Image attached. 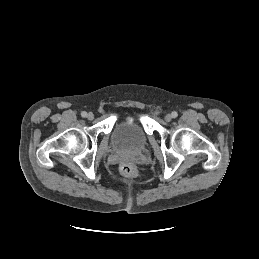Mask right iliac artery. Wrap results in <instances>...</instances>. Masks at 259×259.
I'll return each mask as SVG.
<instances>
[{
  "label": "right iliac artery",
  "mask_w": 259,
  "mask_h": 259,
  "mask_svg": "<svg viewBox=\"0 0 259 259\" xmlns=\"http://www.w3.org/2000/svg\"><path fill=\"white\" fill-rule=\"evenodd\" d=\"M81 116H82V117H86V116H87V112L83 111V112L81 113Z\"/></svg>",
  "instance_id": "obj_1"
}]
</instances>
